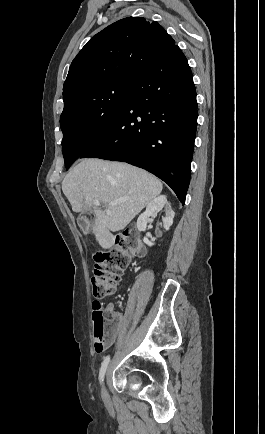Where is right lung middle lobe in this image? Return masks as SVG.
<instances>
[{"label": "right lung middle lobe", "instance_id": "right-lung-middle-lobe-1", "mask_svg": "<svg viewBox=\"0 0 265 434\" xmlns=\"http://www.w3.org/2000/svg\"><path fill=\"white\" fill-rule=\"evenodd\" d=\"M135 77L108 76L63 93L62 152L69 168L119 117Z\"/></svg>", "mask_w": 265, "mask_h": 434}]
</instances>
